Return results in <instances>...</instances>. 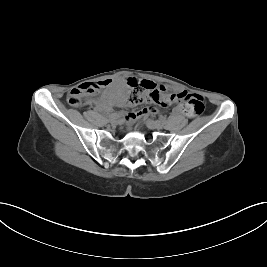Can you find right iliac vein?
I'll return each mask as SVG.
<instances>
[{
    "label": "right iliac vein",
    "mask_w": 267,
    "mask_h": 267,
    "mask_svg": "<svg viewBox=\"0 0 267 267\" xmlns=\"http://www.w3.org/2000/svg\"><path fill=\"white\" fill-rule=\"evenodd\" d=\"M111 124H116L117 123V120L116 119H112L109 121Z\"/></svg>",
    "instance_id": "63e3f726"
}]
</instances>
